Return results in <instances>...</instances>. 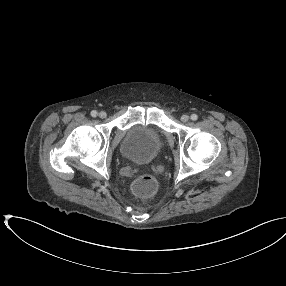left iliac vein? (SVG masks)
I'll use <instances>...</instances> for the list:
<instances>
[{"label": "left iliac vein", "instance_id": "left-iliac-vein-1", "mask_svg": "<svg viewBox=\"0 0 286 286\" xmlns=\"http://www.w3.org/2000/svg\"><path fill=\"white\" fill-rule=\"evenodd\" d=\"M188 120H189V116L188 115H186V114L182 115V117H181V121L182 122H187Z\"/></svg>", "mask_w": 286, "mask_h": 286}]
</instances>
